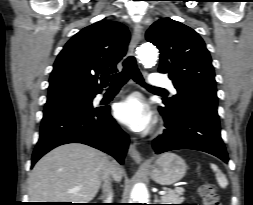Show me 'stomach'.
Instances as JSON below:
<instances>
[{"instance_id":"obj_1","label":"stomach","mask_w":253,"mask_h":205,"mask_svg":"<svg viewBox=\"0 0 253 205\" xmlns=\"http://www.w3.org/2000/svg\"><path fill=\"white\" fill-rule=\"evenodd\" d=\"M147 168L153 180L162 185H171L179 181L187 170L185 161L171 152L162 154Z\"/></svg>"}]
</instances>
